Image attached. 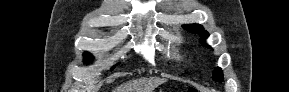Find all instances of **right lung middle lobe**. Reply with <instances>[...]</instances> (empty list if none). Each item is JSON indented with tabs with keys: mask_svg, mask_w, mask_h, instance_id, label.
<instances>
[{
	"mask_svg": "<svg viewBox=\"0 0 289 92\" xmlns=\"http://www.w3.org/2000/svg\"><path fill=\"white\" fill-rule=\"evenodd\" d=\"M84 60H85V62H87V63L90 62V61L92 60L91 54L88 53V52L84 53Z\"/></svg>",
	"mask_w": 289,
	"mask_h": 92,
	"instance_id": "right-lung-middle-lobe-1",
	"label": "right lung middle lobe"
}]
</instances>
